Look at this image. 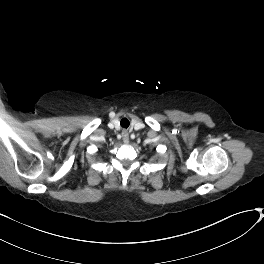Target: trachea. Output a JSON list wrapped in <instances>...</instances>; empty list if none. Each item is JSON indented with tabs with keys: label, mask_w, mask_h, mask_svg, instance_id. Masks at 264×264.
<instances>
[{
	"label": "trachea",
	"mask_w": 264,
	"mask_h": 264,
	"mask_svg": "<svg viewBox=\"0 0 264 264\" xmlns=\"http://www.w3.org/2000/svg\"><path fill=\"white\" fill-rule=\"evenodd\" d=\"M120 125H121L122 127H124V128H128L129 125H130V122H129L128 119L123 118V119L120 121Z\"/></svg>",
	"instance_id": "trachea-1"
}]
</instances>
